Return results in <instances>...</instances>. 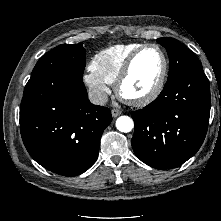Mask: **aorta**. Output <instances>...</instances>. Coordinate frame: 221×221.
Returning a JSON list of instances; mask_svg holds the SVG:
<instances>
[{"instance_id":"aorta-1","label":"aorta","mask_w":221,"mask_h":221,"mask_svg":"<svg viewBox=\"0 0 221 221\" xmlns=\"http://www.w3.org/2000/svg\"><path fill=\"white\" fill-rule=\"evenodd\" d=\"M116 128L120 132L128 133L134 128V122L129 116H120L116 120Z\"/></svg>"}]
</instances>
